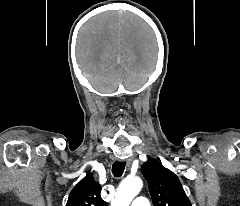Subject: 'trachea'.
<instances>
[{
	"instance_id": "3493384b",
	"label": "trachea",
	"mask_w": 240,
	"mask_h": 206,
	"mask_svg": "<svg viewBox=\"0 0 240 206\" xmlns=\"http://www.w3.org/2000/svg\"><path fill=\"white\" fill-rule=\"evenodd\" d=\"M125 166H126V162L124 161H116L113 163L112 165V173L115 177H120L122 176L123 172H124V169H125Z\"/></svg>"
}]
</instances>
